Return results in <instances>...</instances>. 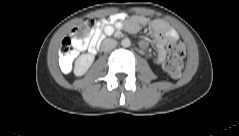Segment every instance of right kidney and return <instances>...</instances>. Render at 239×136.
Instances as JSON below:
<instances>
[{
    "instance_id": "ca27d5eb",
    "label": "right kidney",
    "mask_w": 239,
    "mask_h": 136,
    "mask_svg": "<svg viewBox=\"0 0 239 136\" xmlns=\"http://www.w3.org/2000/svg\"><path fill=\"white\" fill-rule=\"evenodd\" d=\"M94 61V56L91 54H82L75 61L74 74L76 76L84 75Z\"/></svg>"
}]
</instances>
